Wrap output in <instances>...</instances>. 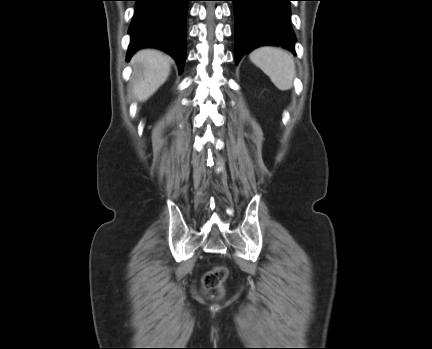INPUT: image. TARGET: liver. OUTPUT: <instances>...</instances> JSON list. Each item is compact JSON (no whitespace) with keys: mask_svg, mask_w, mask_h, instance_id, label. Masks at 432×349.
Masks as SVG:
<instances>
[{"mask_svg":"<svg viewBox=\"0 0 432 349\" xmlns=\"http://www.w3.org/2000/svg\"><path fill=\"white\" fill-rule=\"evenodd\" d=\"M172 59L155 49L138 51L131 59L132 82L135 97L145 101L165 83Z\"/></svg>","mask_w":432,"mask_h":349,"instance_id":"obj_1","label":"liver"}]
</instances>
